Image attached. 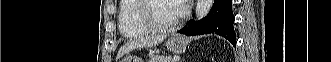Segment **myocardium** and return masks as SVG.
<instances>
[{
  "label": "myocardium",
  "mask_w": 331,
  "mask_h": 62,
  "mask_svg": "<svg viewBox=\"0 0 331 62\" xmlns=\"http://www.w3.org/2000/svg\"><path fill=\"white\" fill-rule=\"evenodd\" d=\"M152 1L153 0H140L137 20L143 28H145L148 32L162 33L172 31L180 25V22L183 18V14H180L178 18L170 24H157L149 15V8Z\"/></svg>",
  "instance_id": "1"
}]
</instances>
